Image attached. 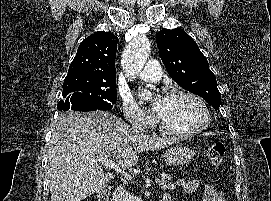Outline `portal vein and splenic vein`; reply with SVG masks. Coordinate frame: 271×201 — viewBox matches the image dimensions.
<instances>
[{
    "mask_svg": "<svg viewBox=\"0 0 271 201\" xmlns=\"http://www.w3.org/2000/svg\"><path fill=\"white\" fill-rule=\"evenodd\" d=\"M95 161L99 162L102 165H105L107 167H110V168L114 169L116 172L121 173L127 179L131 180L133 178L127 172L122 171L120 169L119 165L116 162L110 160L109 158H97ZM155 182L159 184L161 182V180L160 179H156Z\"/></svg>",
    "mask_w": 271,
    "mask_h": 201,
    "instance_id": "18ae733b",
    "label": "portal vein and splenic vein"
}]
</instances>
